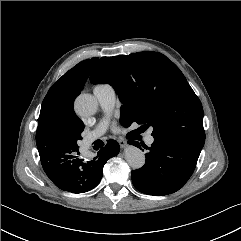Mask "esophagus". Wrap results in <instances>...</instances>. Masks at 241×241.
Instances as JSON below:
<instances>
[{
  "instance_id": "esophagus-1",
  "label": "esophagus",
  "mask_w": 241,
  "mask_h": 241,
  "mask_svg": "<svg viewBox=\"0 0 241 241\" xmlns=\"http://www.w3.org/2000/svg\"><path fill=\"white\" fill-rule=\"evenodd\" d=\"M118 143L121 148H125L127 146V142L123 139H118Z\"/></svg>"
}]
</instances>
